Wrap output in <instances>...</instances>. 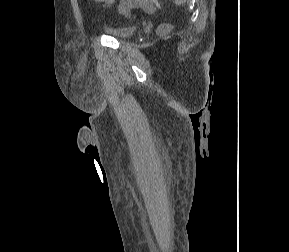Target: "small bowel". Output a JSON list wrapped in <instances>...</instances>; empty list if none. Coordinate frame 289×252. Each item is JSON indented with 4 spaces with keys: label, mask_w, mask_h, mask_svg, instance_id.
Instances as JSON below:
<instances>
[{
    "label": "small bowel",
    "mask_w": 289,
    "mask_h": 252,
    "mask_svg": "<svg viewBox=\"0 0 289 252\" xmlns=\"http://www.w3.org/2000/svg\"><path fill=\"white\" fill-rule=\"evenodd\" d=\"M93 1L105 5H112L115 2V0H93Z\"/></svg>",
    "instance_id": "c3829d8e"
}]
</instances>
